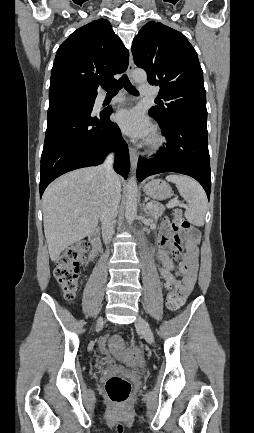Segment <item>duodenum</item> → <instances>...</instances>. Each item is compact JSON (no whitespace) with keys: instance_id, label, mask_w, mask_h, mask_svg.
Wrapping results in <instances>:
<instances>
[{"instance_id":"1","label":"duodenum","mask_w":254,"mask_h":433,"mask_svg":"<svg viewBox=\"0 0 254 433\" xmlns=\"http://www.w3.org/2000/svg\"><path fill=\"white\" fill-rule=\"evenodd\" d=\"M89 241L97 251L100 243V233L98 231L93 232L89 237Z\"/></svg>"}]
</instances>
